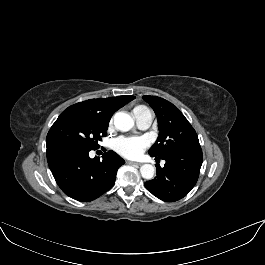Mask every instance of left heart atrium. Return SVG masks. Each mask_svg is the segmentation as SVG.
Instances as JSON below:
<instances>
[{"label":"left heart atrium","instance_id":"39dd6f15","mask_svg":"<svg viewBox=\"0 0 265 265\" xmlns=\"http://www.w3.org/2000/svg\"><path fill=\"white\" fill-rule=\"evenodd\" d=\"M147 147V143L140 137H120L115 141V150L127 157H138Z\"/></svg>","mask_w":265,"mask_h":265}]
</instances>
